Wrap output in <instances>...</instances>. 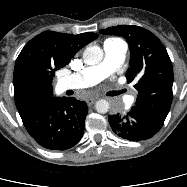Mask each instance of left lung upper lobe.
<instances>
[{
  "label": "left lung upper lobe",
  "mask_w": 187,
  "mask_h": 187,
  "mask_svg": "<svg viewBox=\"0 0 187 187\" xmlns=\"http://www.w3.org/2000/svg\"><path fill=\"white\" fill-rule=\"evenodd\" d=\"M125 38L130 47L127 82H135L137 107L166 118L172 103L173 68L161 41L150 31L135 25H118L100 31Z\"/></svg>",
  "instance_id": "obj_1"
}]
</instances>
